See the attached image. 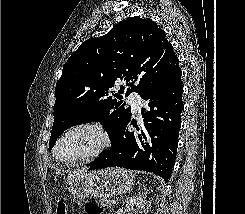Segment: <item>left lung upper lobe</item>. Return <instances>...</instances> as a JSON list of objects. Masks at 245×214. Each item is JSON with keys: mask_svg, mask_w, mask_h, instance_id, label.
<instances>
[{"mask_svg": "<svg viewBox=\"0 0 245 214\" xmlns=\"http://www.w3.org/2000/svg\"><path fill=\"white\" fill-rule=\"evenodd\" d=\"M178 63L164 30L151 19L129 17L83 42L56 83L49 151L66 129L87 122H101L112 144L131 117L122 99L151 90ZM117 80L127 81L118 91Z\"/></svg>", "mask_w": 245, "mask_h": 214, "instance_id": "left-lung-upper-lobe-1", "label": "left lung upper lobe"}]
</instances>
